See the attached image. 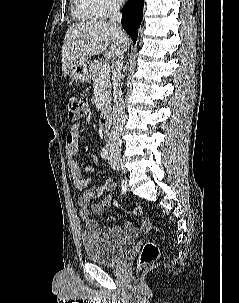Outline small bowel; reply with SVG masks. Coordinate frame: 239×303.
<instances>
[{
	"instance_id": "1",
	"label": "small bowel",
	"mask_w": 239,
	"mask_h": 303,
	"mask_svg": "<svg viewBox=\"0 0 239 303\" xmlns=\"http://www.w3.org/2000/svg\"><path fill=\"white\" fill-rule=\"evenodd\" d=\"M79 125H73L65 136L64 146L68 156V170L73 180L74 186L78 190L84 191L78 199L80 206V218L86 229V233L89 237H107L110 238L114 235L129 234L140 229H146L148 223L143 221L139 226L132 223H128L125 227H100L98 222L92 218L91 213L100 215L106 208L112 206L111 197L108 196L101 201H97L105 191H113L115 185L111 181H105L104 184L88 188L91 183V179L85 178L82 175V168L76 159L80 147ZM86 173L96 174L99 170L92 166L87 165L83 168Z\"/></svg>"
}]
</instances>
